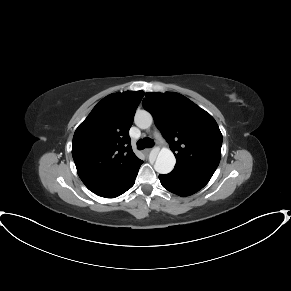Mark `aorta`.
<instances>
[{
  "label": "aorta",
  "instance_id": "762f6f07",
  "mask_svg": "<svg viewBox=\"0 0 291 291\" xmlns=\"http://www.w3.org/2000/svg\"><path fill=\"white\" fill-rule=\"evenodd\" d=\"M134 122L140 129H147L152 125L153 118L148 111L139 110L135 114ZM175 162L172 151L168 148H162L158 153L154 169L159 174H168L173 170Z\"/></svg>",
  "mask_w": 291,
  "mask_h": 291
}]
</instances>
